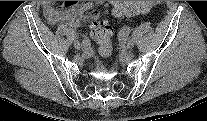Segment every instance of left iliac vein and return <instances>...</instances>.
<instances>
[{
	"label": "left iliac vein",
	"mask_w": 207,
	"mask_h": 121,
	"mask_svg": "<svg viewBox=\"0 0 207 121\" xmlns=\"http://www.w3.org/2000/svg\"><path fill=\"white\" fill-rule=\"evenodd\" d=\"M134 46V41L131 39V40H129V41H127V43H126V45H125V47L127 48V49H130V48H132Z\"/></svg>",
	"instance_id": "1"
}]
</instances>
